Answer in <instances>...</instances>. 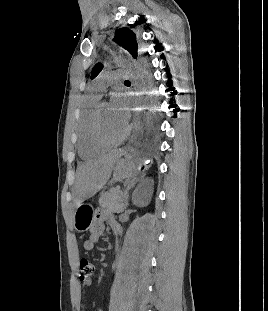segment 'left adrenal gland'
I'll return each mask as SVG.
<instances>
[{"mask_svg": "<svg viewBox=\"0 0 268 311\" xmlns=\"http://www.w3.org/2000/svg\"><path fill=\"white\" fill-rule=\"evenodd\" d=\"M140 181V178H133L132 180H130L128 183H127V187H126V190H125V196L126 198L128 199L129 198V191L131 190V188H133L135 186V184ZM128 206V203L126 204V207Z\"/></svg>", "mask_w": 268, "mask_h": 311, "instance_id": "a2214340", "label": "left adrenal gland"}]
</instances>
